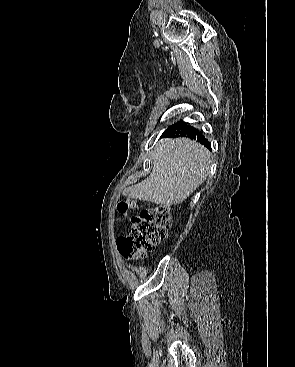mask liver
<instances>
[{"mask_svg":"<svg viewBox=\"0 0 295 367\" xmlns=\"http://www.w3.org/2000/svg\"><path fill=\"white\" fill-rule=\"evenodd\" d=\"M151 160L150 176L129 187L126 194L165 207L189 197L206 180L211 167V153L187 138L160 140Z\"/></svg>","mask_w":295,"mask_h":367,"instance_id":"6515ba94","label":"liver"}]
</instances>
